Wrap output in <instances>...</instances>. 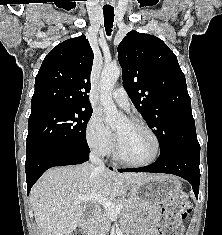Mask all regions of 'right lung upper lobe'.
Here are the masks:
<instances>
[{"instance_id":"1","label":"right lung upper lobe","mask_w":222,"mask_h":235,"mask_svg":"<svg viewBox=\"0 0 222 235\" xmlns=\"http://www.w3.org/2000/svg\"><path fill=\"white\" fill-rule=\"evenodd\" d=\"M93 58L84 35L58 44L44 58L35 78L31 114L55 105L91 108L87 93Z\"/></svg>"}]
</instances>
